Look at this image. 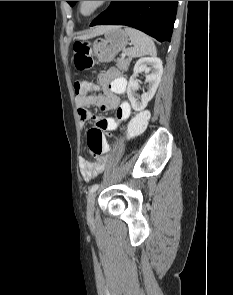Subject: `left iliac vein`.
Wrapping results in <instances>:
<instances>
[{"label": "left iliac vein", "mask_w": 233, "mask_h": 295, "mask_svg": "<svg viewBox=\"0 0 233 295\" xmlns=\"http://www.w3.org/2000/svg\"><path fill=\"white\" fill-rule=\"evenodd\" d=\"M95 197H96V193L92 192L89 194V196L87 198V216H88V218L92 217V215H93Z\"/></svg>", "instance_id": "obj_1"}]
</instances>
